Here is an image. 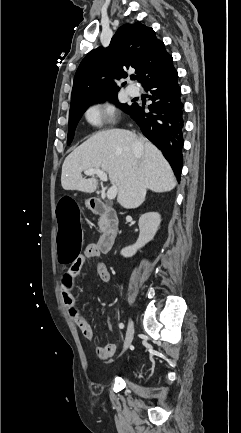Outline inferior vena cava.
Listing matches in <instances>:
<instances>
[{
    "instance_id": "obj_1",
    "label": "inferior vena cava",
    "mask_w": 241,
    "mask_h": 433,
    "mask_svg": "<svg viewBox=\"0 0 241 433\" xmlns=\"http://www.w3.org/2000/svg\"><path fill=\"white\" fill-rule=\"evenodd\" d=\"M143 147H144L143 140L141 138L136 140L133 145L134 153L139 154L143 150Z\"/></svg>"
}]
</instances>
